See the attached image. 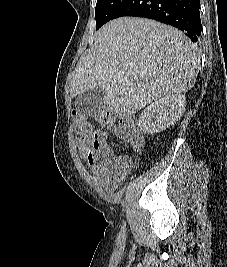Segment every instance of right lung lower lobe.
<instances>
[{
  "mask_svg": "<svg viewBox=\"0 0 227 267\" xmlns=\"http://www.w3.org/2000/svg\"><path fill=\"white\" fill-rule=\"evenodd\" d=\"M199 0H128L114 15L145 17L172 25L197 42L202 31Z\"/></svg>",
  "mask_w": 227,
  "mask_h": 267,
  "instance_id": "right-lung-lower-lobe-1",
  "label": "right lung lower lobe"
}]
</instances>
